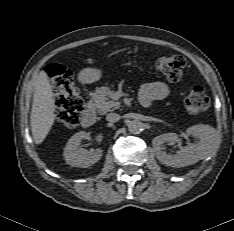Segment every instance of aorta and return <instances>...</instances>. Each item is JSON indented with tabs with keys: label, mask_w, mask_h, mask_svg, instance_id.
<instances>
[{
	"label": "aorta",
	"mask_w": 234,
	"mask_h": 231,
	"mask_svg": "<svg viewBox=\"0 0 234 231\" xmlns=\"http://www.w3.org/2000/svg\"><path fill=\"white\" fill-rule=\"evenodd\" d=\"M128 130L132 134H139L143 130V123L139 120L129 121Z\"/></svg>",
	"instance_id": "aorta-1"
}]
</instances>
